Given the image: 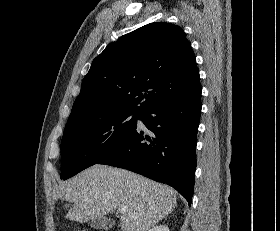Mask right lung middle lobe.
<instances>
[{"label": "right lung middle lobe", "instance_id": "1", "mask_svg": "<svg viewBox=\"0 0 280 231\" xmlns=\"http://www.w3.org/2000/svg\"><path fill=\"white\" fill-rule=\"evenodd\" d=\"M141 116L116 113L68 120L60 145L61 179L66 180L105 158L137 128Z\"/></svg>", "mask_w": 280, "mask_h": 231}]
</instances>
